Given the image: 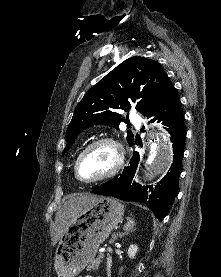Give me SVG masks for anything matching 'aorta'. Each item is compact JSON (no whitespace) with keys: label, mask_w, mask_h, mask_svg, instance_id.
Returning a JSON list of instances; mask_svg holds the SVG:
<instances>
[{"label":"aorta","mask_w":221,"mask_h":277,"mask_svg":"<svg viewBox=\"0 0 221 277\" xmlns=\"http://www.w3.org/2000/svg\"><path fill=\"white\" fill-rule=\"evenodd\" d=\"M172 144L168 134H160V140L150 145V153L146 161L147 174L145 179H153L166 172L172 163Z\"/></svg>","instance_id":"762f6f07"}]
</instances>
